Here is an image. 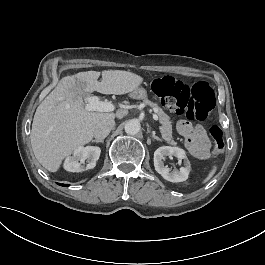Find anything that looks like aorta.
<instances>
[{
    "label": "aorta",
    "instance_id": "aorta-1",
    "mask_svg": "<svg viewBox=\"0 0 265 265\" xmlns=\"http://www.w3.org/2000/svg\"><path fill=\"white\" fill-rule=\"evenodd\" d=\"M140 122L137 119H131L126 122L124 129L129 135H135L140 131Z\"/></svg>",
    "mask_w": 265,
    "mask_h": 265
}]
</instances>
